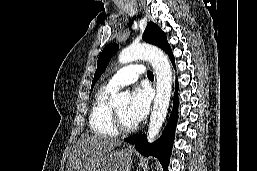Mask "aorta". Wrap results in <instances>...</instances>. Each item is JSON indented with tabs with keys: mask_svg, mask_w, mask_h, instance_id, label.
<instances>
[{
	"mask_svg": "<svg viewBox=\"0 0 257 171\" xmlns=\"http://www.w3.org/2000/svg\"><path fill=\"white\" fill-rule=\"evenodd\" d=\"M138 59H146L152 65L157 79L156 98L148 128V140L152 142L158 135L167 115L171 90L172 70L168 57L155 46L148 44H132L123 49L119 55L120 63H129ZM130 97L126 93L117 94L114 104L129 103Z\"/></svg>",
	"mask_w": 257,
	"mask_h": 171,
	"instance_id": "obj_1",
	"label": "aorta"
}]
</instances>
